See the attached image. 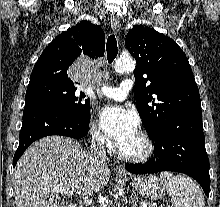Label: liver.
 <instances>
[{"mask_svg": "<svg viewBox=\"0 0 220 207\" xmlns=\"http://www.w3.org/2000/svg\"><path fill=\"white\" fill-rule=\"evenodd\" d=\"M110 169L95 165L83 145L71 138L49 136L33 143L19 159L14 172L16 207H62L56 187L78 196L104 188Z\"/></svg>", "mask_w": 220, "mask_h": 207, "instance_id": "liver-1", "label": "liver"}]
</instances>
